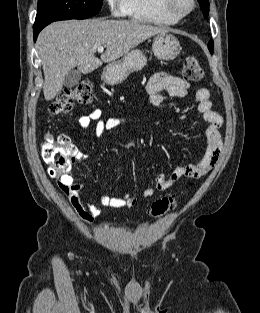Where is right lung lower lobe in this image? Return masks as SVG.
Here are the masks:
<instances>
[{
    "label": "right lung lower lobe",
    "mask_w": 260,
    "mask_h": 313,
    "mask_svg": "<svg viewBox=\"0 0 260 313\" xmlns=\"http://www.w3.org/2000/svg\"><path fill=\"white\" fill-rule=\"evenodd\" d=\"M48 24H49L48 22H43V23L35 22V23H34V27H33L34 41H36V38H37L39 32H40L45 26H47Z\"/></svg>",
    "instance_id": "98d812e1"
}]
</instances>
